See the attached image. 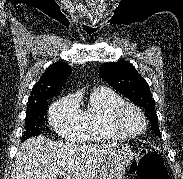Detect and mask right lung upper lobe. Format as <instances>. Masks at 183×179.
<instances>
[{"instance_id": "right-lung-upper-lobe-1", "label": "right lung upper lobe", "mask_w": 183, "mask_h": 179, "mask_svg": "<svg viewBox=\"0 0 183 179\" xmlns=\"http://www.w3.org/2000/svg\"><path fill=\"white\" fill-rule=\"evenodd\" d=\"M71 71V67L64 62H56L49 66L32 88L27 106L40 104L50 97L56 96L62 90Z\"/></svg>"}]
</instances>
